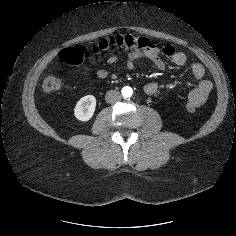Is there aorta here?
<instances>
[{"label": "aorta", "instance_id": "1", "mask_svg": "<svg viewBox=\"0 0 236 236\" xmlns=\"http://www.w3.org/2000/svg\"><path fill=\"white\" fill-rule=\"evenodd\" d=\"M132 93H133V90L131 87H129V86L123 87L122 95L124 97H131Z\"/></svg>", "mask_w": 236, "mask_h": 236}]
</instances>
